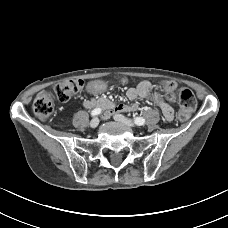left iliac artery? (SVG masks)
Returning a JSON list of instances; mask_svg holds the SVG:
<instances>
[{
  "label": "left iliac artery",
  "mask_w": 228,
  "mask_h": 228,
  "mask_svg": "<svg viewBox=\"0 0 228 228\" xmlns=\"http://www.w3.org/2000/svg\"><path fill=\"white\" fill-rule=\"evenodd\" d=\"M134 122L136 125H144L145 124V119L143 117H136L134 118Z\"/></svg>",
  "instance_id": "left-iliac-artery-1"
}]
</instances>
